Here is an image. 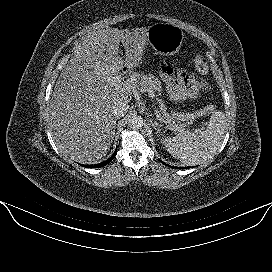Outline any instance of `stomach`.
<instances>
[{
  "label": "stomach",
  "instance_id": "stomach-1",
  "mask_svg": "<svg viewBox=\"0 0 272 272\" xmlns=\"http://www.w3.org/2000/svg\"><path fill=\"white\" fill-rule=\"evenodd\" d=\"M184 34L176 25L155 23L149 27L148 43L161 56L176 54L181 48Z\"/></svg>",
  "mask_w": 272,
  "mask_h": 272
}]
</instances>
